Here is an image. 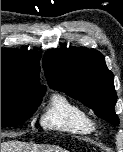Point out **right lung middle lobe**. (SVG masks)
Listing matches in <instances>:
<instances>
[{
  "instance_id": "right-lung-middle-lobe-1",
  "label": "right lung middle lobe",
  "mask_w": 123,
  "mask_h": 152,
  "mask_svg": "<svg viewBox=\"0 0 123 152\" xmlns=\"http://www.w3.org/2000/svg\"><path fill=\"white\" fill-rule=\"evenodd\" d=\"M44 93L1 80V126L24 123L40 105Z\"/></svg>"
}]
</instances>
